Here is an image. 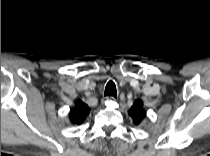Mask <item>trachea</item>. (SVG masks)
Here are the masks:
<instances>
[{
	"instance_id": "trachea-1",
	"label": "trachea",
	"mask_w": 210,
	"mask_h": 156,
	"mask_svg": "<svg viewBox=\"0 0 210 156\" xmlns=\"http://www.w3.org/2000/svg\"><path fill=\"white\" fill-rule=\"evenodd\" d=\"M105 96H113L114 98L117 97L116 85L113 81H109L105 88Z\"/></svg>"
}]
</instances>
